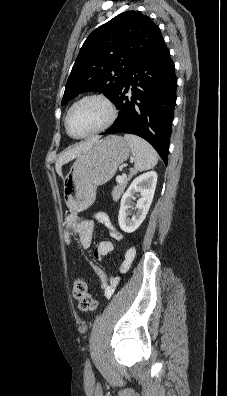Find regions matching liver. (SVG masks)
<instances>
[{
  "label": "liver",
  "instance_id": "1",
  "mask_svg": "<svg viewBox=\"0 0 227 396\" xmlns=\"http://www.w3.org/2000/svg\"><path fill=\"white\" fill-rule=\"evenodd\" d=\"M98 140V138H93L90 140H87L81 144H79L78 146L64 152L60 158L57 160L55 168H56V172L62 176V166L73 160L74 158L78 157L82 152H84L85 150L88 149L89 146H91L94 142H96Z\"/></svg>",
  "mask_w": 227,
  "mask_h": 396
}]
</instances>
